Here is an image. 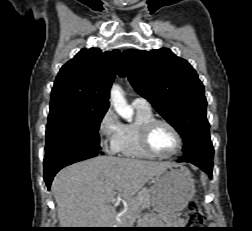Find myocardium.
I'll return each mask as SVG.
<instances>
[{
  "label": "myocardium",
  "instance_id": "f54148a6",
  "mask_svg": "<svg viewBox=\"0 0 252 231\" xmlns=\"http://www.w3.org/2000/svg\"><path fill=\"white\" fill-rule=\"evenodd\" d=\"M158 124H163L166 125L174 134L176 140H177V147L176 149L169 155H161L157 153L151 146L150 143V135L152 129L158 125ZM140 142L142 145V148L152 157L159 158V159H170L176 156L182 149L183 147V139L178 131V129L168 120L165 119H159V118H152L145 122L141 128H140Z\"/></svg>",
  "mask_w": 252,
  "mask_h": 231
}]
</instances>
